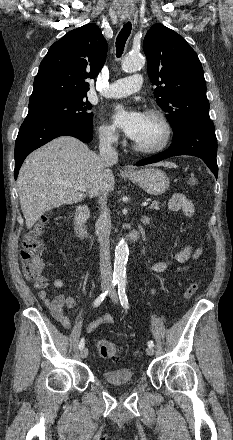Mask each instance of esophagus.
Returning a JSON list of instances; mask_svg holds the SVG:
<instances>
[{"label":"esophagus","mask_w":233,"mask_h":440,"mask_svg":"<svg viewBox=\"0 0 233 440\" xmlns=\"http://www.w3.org/2000/svg\"><path fill=\"white\" fill-rule=\"evenodd\" d=\"M124 171H125L126 173H133V172H134V170H133L130 166H126V167H124Z\"/></svg>","instance_id":"1"}]
</instances>
